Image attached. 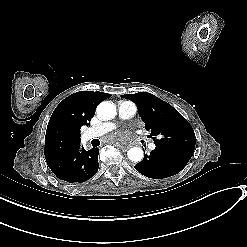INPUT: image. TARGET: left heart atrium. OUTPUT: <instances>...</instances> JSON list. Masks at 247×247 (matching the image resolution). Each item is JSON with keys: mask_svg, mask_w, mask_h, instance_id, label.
I'll use <instances>...</instances> for the list:
<instances>
[{"mask_svg": "<svg viewBox=\"0 0 247 247\" xmlns=\"http://www.w3.org/2000/svg\"><path fill=\"white\" fill-rule=\"evenodd\" d=\"M100 135V134H99ZM133 136V130L120 128L110 134L102 136V142L116 146H125L128 140Z\"/></svg>", "mask_w": 247, "mask_h": 247, "instance_id": "39dd6f15", "label": "left heart atrium"}]
</instances>
